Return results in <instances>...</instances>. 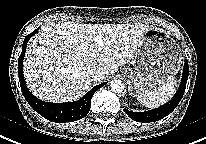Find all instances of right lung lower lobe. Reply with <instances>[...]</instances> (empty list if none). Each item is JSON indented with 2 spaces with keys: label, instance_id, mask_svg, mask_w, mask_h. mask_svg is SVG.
<instances>
[{
  "label": "right lung lower lobe",
  "instance_id": "98d812e1",
  "mask_svg": "<svg viewBox=\"0 0 206 144\" xmlns=\"http://www.w3.org/2000/svg\"><path fill=\"white\" fill-rule=\"evenodd\" d=\"M39 28L27 35L22 45V52L18 60V75L22 93L29 105L41 116L52 122H73L85 117L90 111L91 98L93 94L106 82L92 88L80 100L68 103H50L39 100L31 94L26 86L23 75V59L25 56L28 40L38 32Z\"/></svg>",
  "mask_w": 206,
  "mask_h": 144
}]
</instances>
